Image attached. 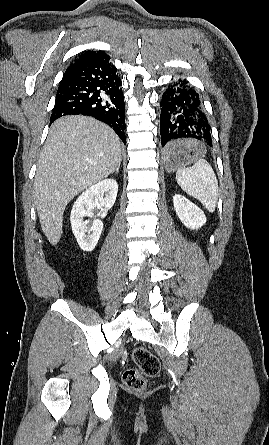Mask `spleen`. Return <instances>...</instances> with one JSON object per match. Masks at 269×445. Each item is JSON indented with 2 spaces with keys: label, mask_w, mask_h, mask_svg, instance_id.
I'll list each match as a JSON object with an SVG mask.
<instances>
[{
  "label": "spleen",
  "mask_w": 269,
  "mask_h": 445,
  "mask_svg": "<svg viewBox=\"0 0 269 445\" xmlns=\"http://www.w3.org/2000/svg\"><path fill=\"white\" fill-rule=\"evenodd\" d=\"M188 145L191 146V142ZM176 180L182 190L199 200L209 212H214L218 199V180L206 160L196 159L191 167H179Z\"/></svg>",
  "instance_id": "obj_1"
}]
</instances>
